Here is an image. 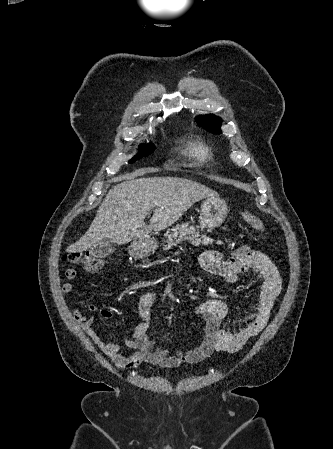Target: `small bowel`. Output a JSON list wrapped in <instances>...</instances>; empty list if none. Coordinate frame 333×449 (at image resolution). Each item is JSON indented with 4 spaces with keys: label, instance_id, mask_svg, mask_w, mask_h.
Segmentation results:
<instances>
[{
    "label": "small bowel",
    "instance_id": "c3829d8e",
    "mask_svg": "<svg viewBox=\"0 0 333 449\" xmlns=\"http://www.w3.org/2000/svg\"><path fill=\"white\" fill-rule=\"evenodd\" d=\"M200 265L204 271L220 276L228 284L236 283L243 274L253 273L259 282V297L257 306L250 315L230 325L223 322L227 313V306L223 301L210 299L197 304L195 312L203 315L206 321L205 332L198 346L171 354L150 340L148 329L157 300V295L153 292L144 293L138 301V313L142 322L125 339V346L132 349V353H124L119 343L102 341L93 328V319L84 317L78 309L71 310L73 319L91 341L122 369H133L143 363L173 368L182 363L202 361L215 351L236 352L266 327L272 307L282 289L279 272L266 255L249 246L237 248L227 260L223 259L220 252L206 251L200 257ZM65 276L69 280L75 279L76 269H66ZM72 291V284L65 283L61 288L63 300ZM87 306L90 310L95 309L92 304ZM101 315L109 318L111 312L102 310Z\"/></svg>",
    "mask_w": 333,
    "mask_h": 449
}]
</instances>
